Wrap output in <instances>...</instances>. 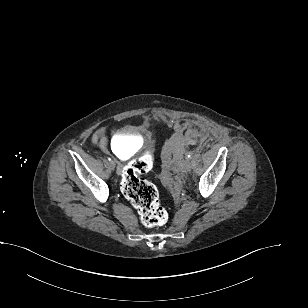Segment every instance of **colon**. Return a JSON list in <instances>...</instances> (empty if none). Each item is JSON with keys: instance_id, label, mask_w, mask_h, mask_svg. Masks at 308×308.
<instances>
[{"instance_id": "obj_1", "label": "colon", "mask_w": 308, "mask_h": 308, "mask_svg": "<svg viewBox=\"0 0 308 308\" xmlns=\"http://www.w3.org/2000/svg\"><path fill=\"white\" fill-rule=\"evenodd\" d=\"M152 166L153 156L147 151L124 167L121 179L122 193L137 209L142 224L148 228L162 226L168 219L167 212L159 203L156 187L141 177Z\"/></svg>"}]
</instances>
